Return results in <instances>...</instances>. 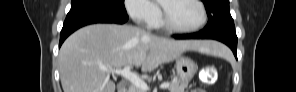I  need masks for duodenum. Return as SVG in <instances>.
Returning a JSON list of instances; mask_svg holds the SVG:
<instances>
[{
    "label": "duodenum",
    "instance_id": "obj_1",
    "mask_svg": "<svg viewBox=\"0 0 296 92\" xmlns=\"http://www.w3.org/2000/svg\"><path fill=\"white\" fill-rule=\"evenodd\" d=\"M129 91H131L130 89H124V90H122V92H129Z\"/></svg>",
    "mask_w": 296,
    "mask_h": 92
}]
</instances>
